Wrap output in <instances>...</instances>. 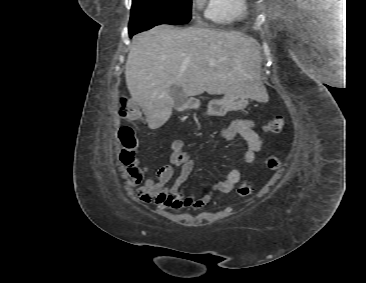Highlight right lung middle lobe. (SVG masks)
Segmentation results:
<instances>
[{"label": "right lung middle lobe", "mask_w": 366, "mask_h": 283, "mask_svg": "<svg viewBox=\"0 0 366 283\" xmlns=\"http://www.w3.org/2000/svg\"><path fill=\"white\" fill-rule=\"evenodd\" d=\"M191 0H132L129 32L138 33L159 24H186Z\"/></svg>", "instance_id": "1"}]
</instances>
